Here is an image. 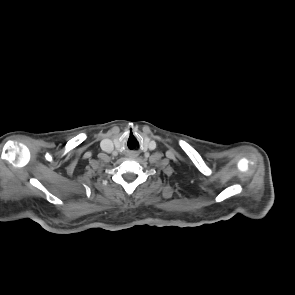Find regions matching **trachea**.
Listing matches in <instances>:
<instances>
[{
	"label": "trachea",
	"instance_id": "3493384b",
	"mask_svg": "<svg viewBox=\"0 0 295 295\" xmlns=\"http://www.w3.org/2000/svg\"><path fill=\"white\" fill-rule=\"evenodd\" d=\"M133 139V146H131V140ZM128 147L130 149H134L136 147V140L133 136L130 137L129 141H128Z\"/></svg>",
	"mask_w": 295,
	"mask_h": 295
}]
</instances>
